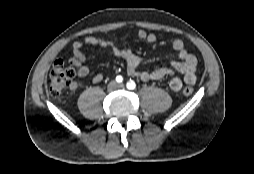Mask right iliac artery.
Wrapping results in <instances>:
<instances>
[{
  "mask_svg": "<svg viewBox=\"0 0 254 174\" xmlns=\"http://www.w3.org/2000/svg\"><path fill=\"white\" fill-rule=\"evenodd\" d=\"M116 81L118 82V83H121L122 81H123V77L122 76H117L116 77Z\"/></svg>",
  "mask_w": 254,
  "mask_h": 174,
  "instance_id": "right-iliac-artery-1",
  "label": "right iliac artery"
}]
</instances>
